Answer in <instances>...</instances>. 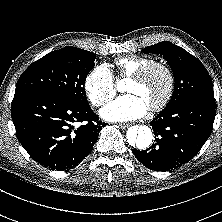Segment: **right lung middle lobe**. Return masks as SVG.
<instances>
[{
  "mask_svg": "<svg viewBox=\"0 0 222 222\" xmlns=\"http://www.w3.org/2000/svg\"><path fill=\"white\" fill-rule=\"evenodd\" d=\"M95 58L94 53L76 47L50 52L24 71L15 92H43L88 105L84 83Z\"/></svg>",
  "mask_w": 222,
  "mask_h": 222,
  "instance_id": "1",
  "label": "right lung middle lobe"
}]
</instances>
